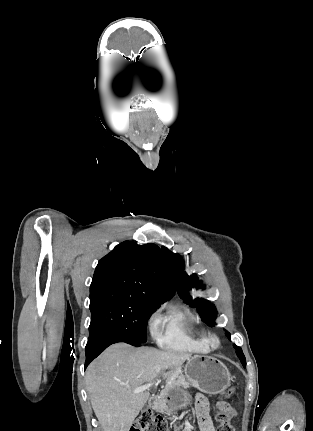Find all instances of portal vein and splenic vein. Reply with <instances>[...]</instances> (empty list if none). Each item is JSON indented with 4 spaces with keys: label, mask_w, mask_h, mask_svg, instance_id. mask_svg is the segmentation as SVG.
<instances>
[{
    "label": "portal vein and splenic vein",
    "mask_w": 313,
    "mask_h": 431,
    "mask_svg": "<svg viewBox=\"0 0 313 431\" xmlns=\"http://www.w3.org/2000/svg\"><path fill=\"white\" fill-rule=\"evenodd\" d=\"M153 384H154L153 382H149V383L144 384V385H142L140 387H137L134 390V393L138 394V393L144 392V391L148 390L149 388H151L153 386Z\"/></svg>",
    "instance_id": "portal-vein-and-splenic-vein-1"
}]
</instances>
